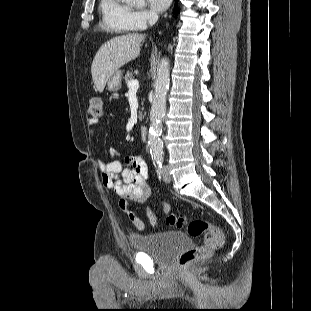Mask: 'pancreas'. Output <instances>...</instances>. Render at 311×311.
<instances>
[{
    "mask_svg": "<svg viewBox=\"0 0 311 311\" xmlns=\"http://www.w3.org/2000/svg\"><path fill=\"white\" fill-rule=\"evenodd\" d=\"M134 76H133V73L128 71L125 76H124V80L125 82L128 84L129 81L133 80ZM143 119V115L142 113L139 114V120L142 121Z\"/></svg>",
    "mask_w": 311,
    "mask_h": 311,
    "instance_id": "obj_1",
    "label": "pancreas"
}]
</instances>
